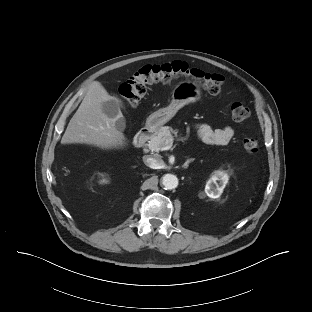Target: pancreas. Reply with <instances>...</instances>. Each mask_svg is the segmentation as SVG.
Returning <instances> with one entry per match:
<instances>
[{"mask_svg": "<svg viewBox=\"0 0 312 312\" xmlns=\"http://www.w3.org/2000/svg\"><path fill=\"white\" fill-rule=\"evenodd\" d=\"M174 134V136H173ZM178 134V130H174L172 127L164 126L162 127L156 135L152 136L147 146L151 151L158 152L165 146L173 143L174 137Z\"/></svg>", "mask_w": 312, "mask_h": 312, "instance_id": "cf45deb5", "label": "pancreas"}]
</instances>
